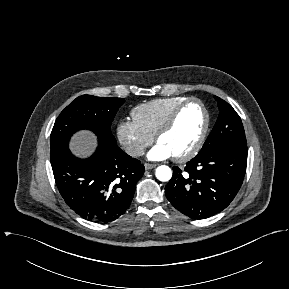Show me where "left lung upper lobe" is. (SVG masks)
Instances as JSON below:
<instances>
[{
  "label": "left lung upper lobe",
  "mask_w": 289,
  "mask_h": 289,
  "mask_svg": "<svg viewBox=\"0 0 289 289\" xmlns=\"http://www.w3.org/2000/svg\"><path fill=\"white\" fill-rule=\"evenodd\" d=\"M220 114L202 149L197 154L202 156L213 148L225 143L247 144L242 121L231 105L214 96Z\"/></svg>",
  "instance_id": "1"
}]
</instances>
